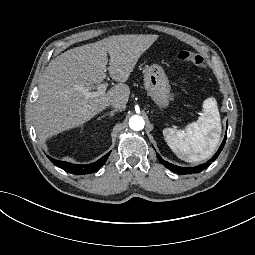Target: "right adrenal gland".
<instances>
[{
    "instance_id": "right-adrenal-gland-1",
    "label": "right adrenal gland",
    "mask_w": 255,
    "mask_h": 255,
    "mask_svg": "<svg viewBox=\"0 0 255 255\" xmlns=\"http://www.w3.org/2000/svg\"><path fill=\"white\" fill-rule=\"evenodd\" d=\"M115 112H116V110H112L109 113H107V114H105V115H103L101 117H98L97 120H101L102 118H104L107 115H109L110 117H113Z\"/></svg>"
}]
</instances>
